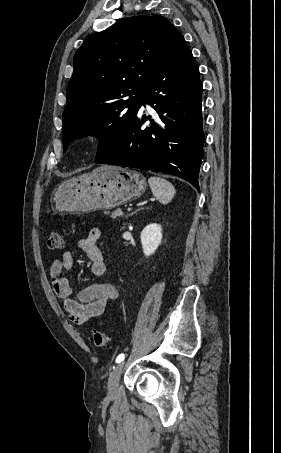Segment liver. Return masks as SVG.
I'll return each mask as SVG.
<instances>
[{
	"label": "liver",
	"instance_id": "liver-1",
	"mask_svg": "<svg viewBox=\"0 0 281 453\" xmlns=\"http://www.w3.org/2000/svg\"><path fill=\"white\" fill-rule=\"evenodd\" d=\"M108 164H104V166H98V168H94L93 172H95V170H105V168H107Z\"/></svg>",
	"mask_w": 281,
	"mask_h": 453
}]
</instances>
